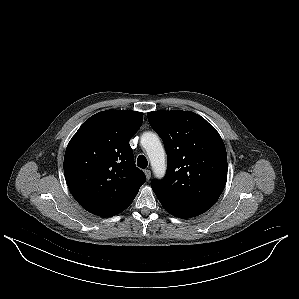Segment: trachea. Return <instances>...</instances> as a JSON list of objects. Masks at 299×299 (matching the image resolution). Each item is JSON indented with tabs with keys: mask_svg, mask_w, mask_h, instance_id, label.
Segmentation results:
<instances>
[{
	"mask_svg": "<svg viewBox=\"0 0 299 299\" xmlns=\"http://www.w3.org/2000/svg\"><path fill=\"white\" fill-rule=\"evenodd\" d=\"M137 165L142 169H145L147 167L148 161L144 155H140L137 158Z\"/></svg>",
	"mask_w": 299,
	"mask_h": 299,
	"instance_id": "obj_1",
	"label": "trachea"
}]
</instances>
